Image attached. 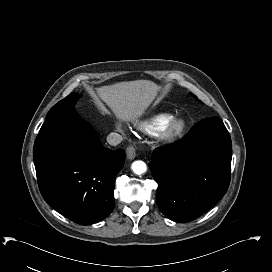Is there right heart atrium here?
I'll use <instances>...</instances> for the list:
<instances>
[{
    "mask_svg": "<svg viewBox=\"0 0 272 272\" xmlns=\"http://www.w3.org/2000/svg\"><path fill=\"white\" fill-rule=\"evenodd\" d=\"M117 129L121 130V126L119 124L117 125Z\"/></svg>",
    "mask_w": 272,
    "mask_h": 272,
    "instance_id": "d8ad5b80",
    "label": "right heart atrium"
}]
</instances>
